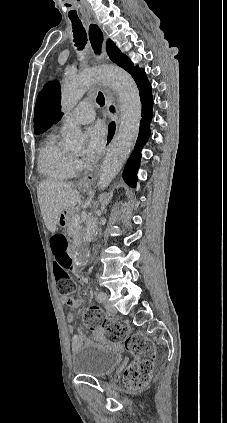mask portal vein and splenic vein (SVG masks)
<instances>
[{"mask_svg": "<svg viewBox=\"0 0 227 423\" xmlns=\"http://www.w3.org/2000/svg\"><path fill=\"white\" fill-rule=\"evenodd\" d=\"M80 219H81V217H80L79 213H75V215H73L72 221H74V223H80Z\"/></svg>", "mask_w": 227, "mask_h": 423, "instance_id": "portal-vein-and-splenic-vein-1", "label": "portal vein and splenic vein"}]
</instances>
